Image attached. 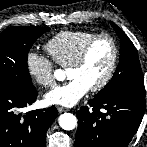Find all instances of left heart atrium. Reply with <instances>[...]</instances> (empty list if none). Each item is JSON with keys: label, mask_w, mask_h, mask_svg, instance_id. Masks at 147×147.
<instances>
[{"label": "left heart atrium", "mask_w": 147, "mask_h": 147, "mask_svg": "<svg viewBox=\"0 0 147 147\" xmlns=\"http://www.w3.org/2000/svg\"><path fill=\"white\" fill-rule=\"evenodd\" d=\"M90 87L80 79H71L59 85L44 95V100L49 105L72 107L83 98Z\"/></svg>", "instance_id": "left-heart-atrium-1"}]
</instances>
